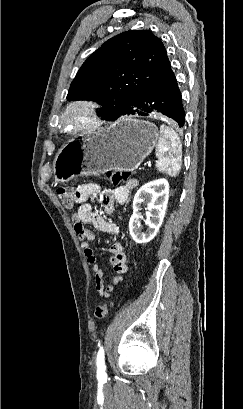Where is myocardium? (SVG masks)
Segmentation results:
<instances>
[{"mask_svg":"<svg viewBox=\"0 0 243 409\" xmlns=\"http://www.w3.org/2000/svg\"><path fill=\"white\" fill-rule=\"evenodd\" d=\"M80 114L85 119V124L75 129H69L65 125L66 119L71 114ZM102 119L98 111V105L90 100L78 99L69 102L59 115V129L68 136H78L97 130L102 126Z\"/></svg>","mask_w":243,"mask_h":409,"instance_id":"obj_1","label":"myocardium"}]
</instances>
